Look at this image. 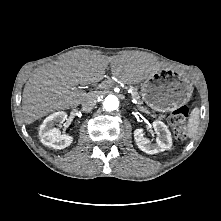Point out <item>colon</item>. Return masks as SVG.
I'll list each match as a JSON object with an SVG mask.
<instances>
[{
	"label": "colon",
	"mask_w": 221,
	"mask_h": 221,
	"mask_svg": "<svg viewBox=\"0 0 221 221\" xmlns=\"http://www.w3.org/2000/svg\"><path fill=\"white\" fill-rule=\"evenodd\" d=\"M189 109L186 106H181L175 109L170 115V124L175 137L183 140L187 137V117Z\"/></svg>",
	"instance_id": "colon-1"
}]
</instances>
